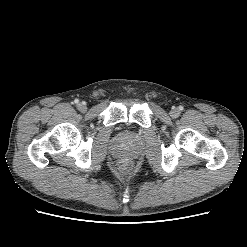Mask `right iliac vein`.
Returning <instances> with one entry per match:
<instances>
[{
	"instance_id": "63e3f726",
	"label": "right iliac vein",
	"mask_w": 247,
	"mask_h": 247,
	"mask_svg": "<svg viewBox=\"0 0 247 247\" xmlns=\"http://www.w3.org/2000/svg\"><path fill=\"white\" fill-rule=\"evenodd\" d=\"M77 109L81 112H85L87 110V106L85 103L81 102L77 105Z\"/></svg>"
}]
</instances>
